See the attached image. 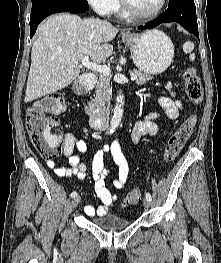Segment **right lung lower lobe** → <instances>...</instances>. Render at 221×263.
Instances as JSON below:
<instances>
[{
    "label": "right lung lower lobe",
    "mask_w": 221,
    "mask_h": 263,
    "mask_svg": "<svg viewBox=\"0 0 221 263\" xmlns=\"http://www.w3.org/2000/svg\"><path fill=\"white\" fill-rule=\"evenodd\" d=\"M88 9L89 5L86 0H55L37 6L31 11L30 37H33L35 34L39 23L51 14L59 12L78 13Z\"/></svg>",
    "instance_id": "obj_1"
}]
</instances>
